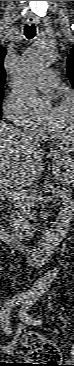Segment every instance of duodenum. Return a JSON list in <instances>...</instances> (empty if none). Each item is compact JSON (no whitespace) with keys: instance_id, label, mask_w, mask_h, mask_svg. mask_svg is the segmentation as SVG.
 I'll list each match as a JSON object with an SVG mask.
<instances>
[{"instance_id":"1","label":"duodenum","mask_w":74,"mask_h":366,"mask_svg":"<svg viewBox=\"0 0 74 366\" xmlns=\"http://www.w3.org/2000/svg\"><path fill=\"white\" fill-rule=\"evenodd\" d=\"M5 238L9 241H13L9 234H5ZM59 239V235L56 233H46L39 244L38 250L44 253L50 251L57 244ZM21 252L26 256L33 257V251L25 246L21 247Z\"/></svg>"}]
</instances>
